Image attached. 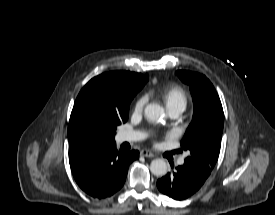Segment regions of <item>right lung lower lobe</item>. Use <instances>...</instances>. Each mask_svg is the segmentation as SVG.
<instances>
[{"mask_svg":"<svg viewBox=\"0 0 275 215\" xmlns=\"http://www.w3.org/2000/svg\"><path fill=\"white\" fill-rule=\"evenodd\" d=\"M139 152H119L115 141L69 149V163L79 187L94 198H106L125 183L128 167Z\"/></svg>","mask_w":275,"mask_h":215,"instance_id":"98d812e1","label":"right lung lower lobe"}]
</instances>
